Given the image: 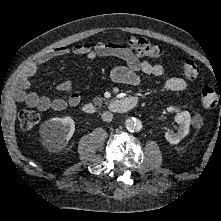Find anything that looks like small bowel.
Returning <instances> with one entry per match:
<instances>
[{"mask_svg":"<svg viewBox=\"0 0 221 221\" xmlns=\"http://www.w3.org/2000/svg\"><path fill=\"white\" fill-rule=\"evenodd\" d=\"M76 55L85 59L92 60L97 56H116L122 59L126 66H118L112 69L111 79L120 84L138 85L140 83L139 74L161 77L164 74V68L160 64H152L141 60L134 53L126 48L113 43H78L73 46H60L44 52L36 60L30 62L19 74L16 81V96L27 106L37 108L40 111L55 110L61 111L70 107H76L81 101L77 92L73 91V85L70 80H61L56 85L58 91L67 92V99L62 97L50 98L42 96L36 92L28 91L32 77L39 68L45 63L60 57ZM187 82L180 77H170L165 82V89L171 92H181L187 89Z\"/></svg>","mask_w":221,"mask_h":221,"instance_id":"c3829d8e","label":"small bowel"}]
</instances>
